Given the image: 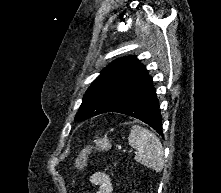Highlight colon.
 <instances>
[{
    "mask_svg": "<svg viewBox=\"0 0 221 193\" xmlns=\"http://www.w3.org/2000/svg\"><path fill=\"white\" fill-rule=\"evenodd\" d=\"M89 152H90V148H86L78 155L76 164H75V168L77 171H81L84 168L87 162L88 156H89Z\"/></svg>",
    "mask_w": 221,
    "mask_h": 193,
    "instance_id": "1",
    "label": "colon"
}]
</instances>
